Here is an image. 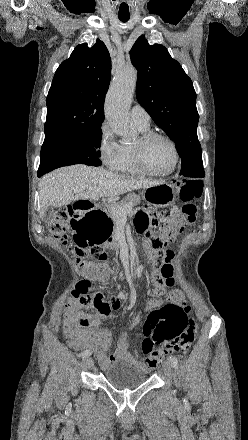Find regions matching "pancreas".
Segmentation results:
<instances>
[{
	"mask_svg": "<svg viewBox=\"0 0 248 440\" xmlns=\"http://www.w3.org/2000/svg\"><path fill=\"white\" fill-rule=\"evenodd\" d=\"M140 201H141L140 196H138V195H136L134 193H130L119 204H115V205L110 206L107 209L106 213L112 218L113 222L116 223L119 219H118V217L116 215H114L112 213L111 209L113 207L118 208V209H124L127 206H130L131 207V211H132L133 207L135 205L139 204Z\"/></svg>",
	"mask_w": 248,
	"mask_h": 440,
	"instance_id": "cf45deb5",
	"label": "pancreas"
}]
</instances>
